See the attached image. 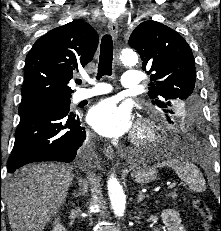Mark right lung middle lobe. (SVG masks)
I'll list each match as a JSON object with an SVG mask.
<instances>
[{"label": "right lung middle lobe", "instance_id": "obj_1", "mask_svg": "<svg viewBox=\"0 0 221 231\" xmlns=\"http://www.w3.org/2000/svg\"><path fill=\"white\" fill-rule=\"evenodd\" d=\"M44 105H59L62 107L70 106V98H28L21 101L19 114L32 108Z\"/></svg>", "mask_w": 221, "mask_h": 231}]
</instances>
